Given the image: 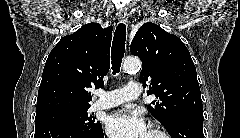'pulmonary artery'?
<instances>
[{"mask_svg": "<svg viewBox=\"0 0 240 138\" xmlns=\"http://www.w3.org/2000/svg\"><path fill=\"white\" fill-rule=\"evenodd\" d=\"M95 93L99 96V100L94 103L93 107L97 110L109 109L138 98L142 93V88L137 81H130L123 88L112 91L96 90Z\"/></svg>", "mask_w": 240, "mask_h": 138, "instance_id": "obj_1", "label": "pulmonary artery"}]
</instances>
